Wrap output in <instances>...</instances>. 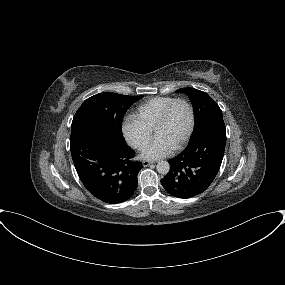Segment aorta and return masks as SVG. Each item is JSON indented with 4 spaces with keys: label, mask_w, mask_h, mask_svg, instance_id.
Listing matches in <instances>:
<instances>
[{
    "label": "aorta",
    "mask_w": 285,
    "mask_h": 285,
    "mask_svg": "<svg viewBox=\"0 0 285 285\" xmlns=\"http://www.w3.org/2000/svg\"><path fill=\"white\" fill-rule=\"evenodd\" d=\"M156 169L159 174L166 175L170 171V164L167 161L158 162Z\"/></svg>",
    "instance_id": "obj_1"
}]
</instances>
